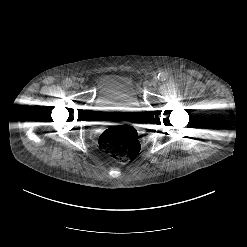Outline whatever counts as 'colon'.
Segmentation results:
<instances>
[{"label":"colon","mask_w":247,"mask_h":247,"mask_svg":"<svg viewBox=\"0 0 247 247\" xmlns=\"http://www.w3.org/2000/svg\"><path fill=\"white\" fill-rule=\"evenodd\" d=\"M99 146L106 154L121 163L134 159L141 147L136 130L130 126L106 129L99 137Z\"/></svg>","instance_id":"colon-1"}]
</instances>
